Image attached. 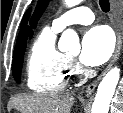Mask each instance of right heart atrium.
<instances>
[{
    "label": "right heart atrium",
    "instance_id": "right-heart-atrium-1",
    "mask_svg": "<svg viewBox=\"0 0 123 113\" xmlns=\"http://www.w3.org/2000/svg\"><path fill=\"white\" fill-rule=\"evenodd\" d=\"M70 66L73 70H78V66L75 63H70Z\"/></svg>",
    "mask_w": 123,
    "mask_h": 113
}]
</instances>
